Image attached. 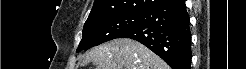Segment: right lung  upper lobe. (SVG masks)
<instances>
[{
  "instance_id": "obj_1",
  "label": "right lung upper lobe",
  "mask_w": 246,
  "mask_h": 69,
  "mask_svg": "<svg viewBox=\"0 0 246 69\" xmlns=\"http://www.w3.org/2000/svg\"><path fill=\"white\" fill-rule=\"evenodd\" d=\"M165 0H95L87 21L119 15L142 14Z\"/></svg>"
}]
</instances>
